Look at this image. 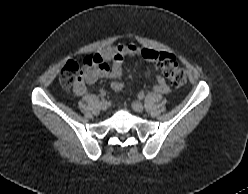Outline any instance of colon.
<instances>
[{
    "label": "colon",
    "instance_id": "obj_1",
    "mask_svg": "<svg viewBox=\"0 0 248 194\" xmlns=\"http://www.w3.org/2000/svg\"><path fill=\"white\" fill-rule=\"evenodd\" d=\"M154 61L157 68L169 80L173 87H181L187 80L186 71L179 65L176 57L166 52H156ZM92 63V57L87 56L83 60V64ZM81 78L80 64L70 60L65 63L60 74V83L64 88H70L76 84ZM111 87L115 91H119L124 87L122 82H113Z\"/></svg>",
    "mask_w": 248,
    "mask_h": 194
}]
</instances>
